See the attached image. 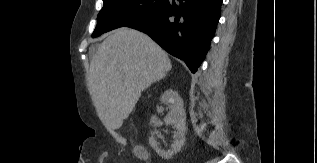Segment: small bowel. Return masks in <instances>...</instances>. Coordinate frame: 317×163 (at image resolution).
Listing matches in <instances>:
<instances>
[{
    "label": "small bowel",
    "instance_id": "obj_1",
    "mask_svg": "<svg viewBox=\"0 0 317 163\" xmlns=\"http://www.w3.org/2000/svg\"><path fill=\"white\" fill-rule=\"evenodd\" d=\"M136 153L140 158H146L147 156L146 152L141 148H137Z\"/></svg>",
    "mask_w": 317,
    "mask_h": 163
}]
</instances>
